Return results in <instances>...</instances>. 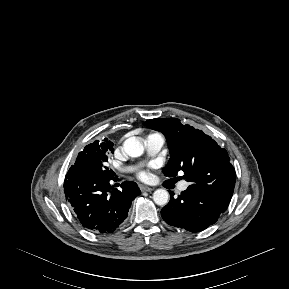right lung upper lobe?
Returning <instances> with one entry per match:
<instances>
[{
  "instance_id": "1",
  "label": "right lung upper lobe",
  "mask_w": 289,
  "mask_h": 289,
  "mask_svg": "<svg viewBox=\"0 0 289 289\" xmlns=\"http://www.w3.org/2000/svg\"><path fill=\"white\" fill-rule=\"evenodd\" d=\"M103 141H105V142H110V141H108V139H104ZM110 143H112V142H110Z\"/></svg>"
}]
</instances>
